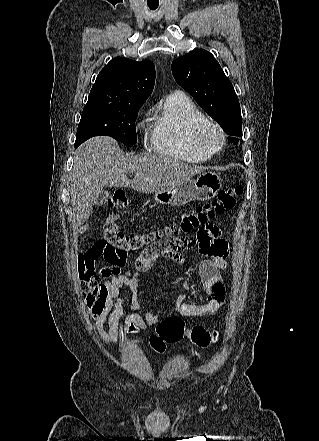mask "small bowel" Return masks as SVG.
<instances>
[{
  "label": "small bowel",
  "mask_w": 319,
  "mask_h": 441,
  "mask_svg": "<svg viewBox=\"0 0 319 441\" xmlns=\"http://www.w3.org/2000/svg\"><path fill=\"white\" fill-rule=\"evenodd\" d=\"M197 250L202 256L199 276L207 298L203 304L187 302L186 292L191 290L190 282L180 278L178 282L184 293L179 294L174 306L166 315L178 314L184 317H198L216 313L225 301L226 288L220 270L228 266V243L221 237V230L214 224L206 225L196 238L182 236L154 243L146 248L135 260V272L124 271L123 265L111 264L98 271L94 270L93 284L84 289L86 307L91 315L96 332L104 343L116 342L120 336L119 321L123 316V303L130 294L132 313L124 319V329L128 334H137L147 325L159 323L163 315L143 306L138 296L139 273L150 270L160 258L169 259L183 265L182 251ZM103 254L97 243L78 256L79 265H88ZM105 279V282L102 280ZM141 313L142 315H140ZM108 323V331L104 326Z\"/></svg>",
  "instance_id": "small-bowel-1"
}]
</instances>
